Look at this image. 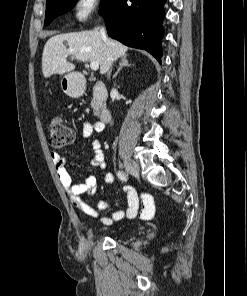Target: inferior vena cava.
<instances>
[{
    "mask_svg": "<svg viewBox=\"0 0 247 296\" xmlns=\"http://www.w3.org/2000/svg\"><path fill=\"white\" fill-rule=\"evenodd\" d=\"M100 32H101V35H102V36H105V30H104L103 27L100 29ZM110 72H111V71H109L108 75H110Z\"/></svg>",
    "mask_w": 247,
    "mask_h": 296,
    "instance_id": "1",
    "label": "inferior vena cava"
}]
</instances>
